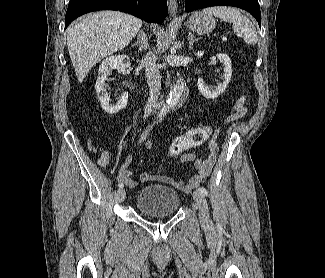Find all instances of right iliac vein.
Masks as SVG:
<instances>
[{
    "instance_id": "63e3f726",
    "label": "right iliac vein",
    "mask_w": 325,
    "mask_h": 278,
    "mask_svg": "<svg viewBox=\"0 0 325 278\" xmlns=\"http://www.w3.org/2000/svg\"><path fill=\"white\" fill-rule=\"evenodd\" d=\"M125 197H126V192L124 189H119L117 191V199L119 202H123L125 200Z\"/></svg>"
}]
</instances>
